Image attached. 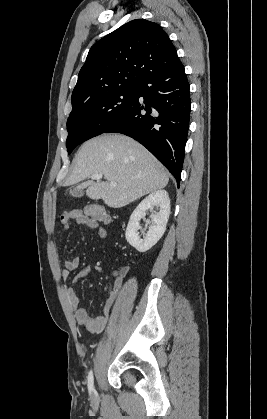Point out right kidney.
Wrapping results in <instances>:
<instances>
[{"label":"right kidney","mask_w":267,"mask_h":419,"mask_svg":"<svg viewBox=\"0 0 267 419\" xmlns=\"http://www.w3.org/2000/svg\"><path fill=\"white\" fill-rule=\"evenodd\" d=\"M156 207L158 212L151 214V225L143 238L140 237L138 230L141 229L140 220L145 218L147 210ZM170 215V199L165 190H157L149 194L136 207L130 216L125 237L127 242L139 252H146L154 246L163 236Z\"/></svg>","instance_id":"obj_1"}]
</instances>
